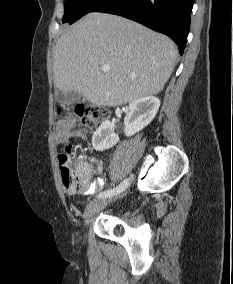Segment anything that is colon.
<instances>
[{
  "mask_svg": "<svg viewBox=\"0 0 233 284\" xmlns=\"http://www.w3.org/2000/svg\"><path fill=\"white\" fill-rule=\"evenodd\" d=\"M75 113L83 126L95 128L109 117V111L101 106L78 104ZM64 186L72 192H84L90 186V177L85 174L71 156L70 147L58 157Z\"/></svg>",
  "mask_w": 233,
  "mask_h": 284,
  "instance_id": "obj_1",
  "label": "colon"
}]
</instances>
